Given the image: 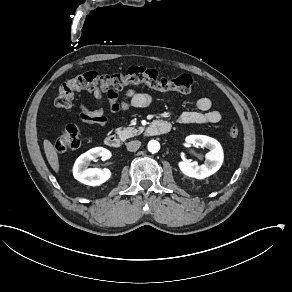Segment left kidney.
I'll return each mask as SVG.
<instances>
[{
    "mask_svg": "<svg viewBox=\"0 0 292 292\" xmlns=\"http://www.w3.org/2000/svg\"><path fill=\"white\" fill-rule=\"evenodd\" d=\"M186 143L208 148L205 163L198 165L197 162H179L180 170L187 176L204 179L218 171L223 163L224 154L221 144L214 138L205 135H189Z\"/></svg>",
    "mask_w": 292,
    "mask_h": 292,
    "instance_id": "5707ae66",
    "label": "left kidney"
}]
</instances>
